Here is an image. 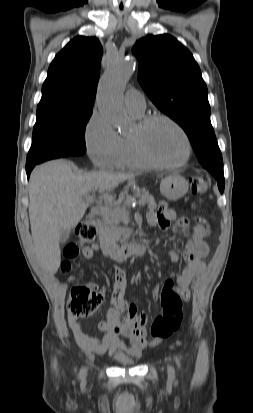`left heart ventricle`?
<instances>
[{"label":"left heart ventricle","instance_id":"1","mask_svg":"<svg viewBox=\"0 0 253 413\" xmlns=\"http://www.w3.org/2000/svg\"><path fill=\"white\" fill-rule=\"evenodd\" d=\"M144 140L149 154L159 162L176 163L185 155V143L181 134L165 121L154 123L146 131Z\"/></svg>","mask_w":253,"mask_h":413}]
</instances>
